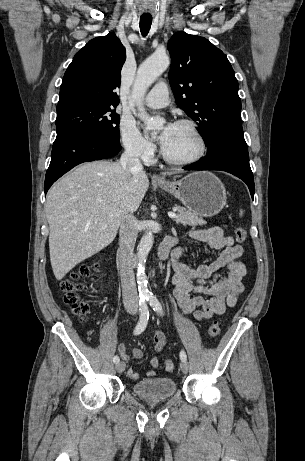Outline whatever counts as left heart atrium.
<instances>
[{"label": "left heart atrium", "instance_id": "left-heart-atrium-1", "mask_svg": "<svg viewBox=\"0 0 305 461\" xmlns=\"http://www.w3.org/2000/svg\"><path fill=\"white\" fill-rule=\"evenodd\" d=\"M174 126L175 124L168 123L165 126L164 130L162 131L161 136H160V142H161L162 147H164L169 142L173 134Z\"/></svg>", "mask_w": 305, "mask_h": 461}]
</instances>
